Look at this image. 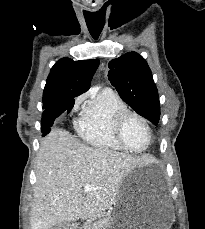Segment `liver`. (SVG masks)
<instances>
[{"instance_id": "obj_1", "label": "liver", "mask_w": 205, "mask_h": 229, "mask_svg": "<svg viewBox=\"0 0 205 229\" xmlns=\"http://www.w3.org/2000/svg\"><path fill=\"white\" fill-rule=\"evenodd\" d=\"M142 161L114 150L93 148L63 129L41 142L30 215L31 229L90 218L116 203L126 175ZM86 184L97 190L84 192Z\"/></svg>"}]
</instances>
